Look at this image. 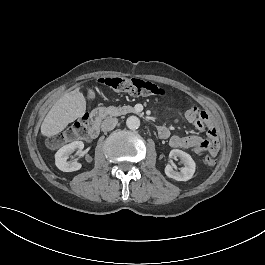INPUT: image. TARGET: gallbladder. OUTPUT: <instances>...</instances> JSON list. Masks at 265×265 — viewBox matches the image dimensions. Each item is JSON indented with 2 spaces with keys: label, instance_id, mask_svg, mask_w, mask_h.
Here are the masks:
<instances>
[{
  "label": "gallbladder",
  "instance_id": "bac80fb5",
  "mask_svg": "<svg viewBox=\"0 0 265 265\" xmlns=\"http://www.w3.org/2000/svg\"><path fill=\"white\" fill-rule=\"evenodd\" d=\"M87 91L89 92L88 97L91 98L92 101H95V98H94L95 95L93 93H90L91 92V89L90 88H87Z\"/></svg>",
  "mask_w": 265,
  "mask_h": 265
}]
</instances>
